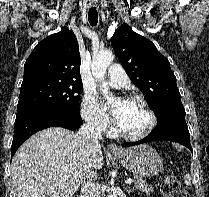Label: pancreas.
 <instances>
[{
  "label": "pancreas",
  "instance_id": "obj_1",
  "mask_svg": "<svg viewBox=\"0 0 209 197\" xmlns=\"http://www.w3.org/2000/svg\"><path fill=\"white\" fill-rule=\"evenodd\" d=\"M134 187L142 192H145L147 194H151L153 192L152 187H148V185L145 183V181L142 178H136L135 179V185Z\"/></svg>",
  "mask_w": 209,
  "mask_h": 197
}]
</instances>
